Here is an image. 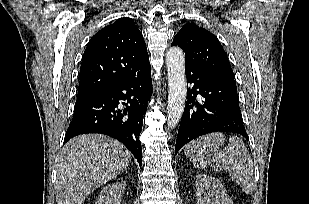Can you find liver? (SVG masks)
Segmentation results:
<instances>
[{"label": "liver", "mask_w": 309, "mask_h": 204, "mask_svg": "<svg viewBox=\"0 0 309 204\" xmlns=\"http://www.w3.org/2000/svg\"><path fill=\"white\" fill-rule=\"evenodd\" d=\"M131 153L119 141L99 134L80 135L62 148L57 164V204H82L95 189L129 165Z\"/></svg>", "instance_id": "1"}]
</instances>
